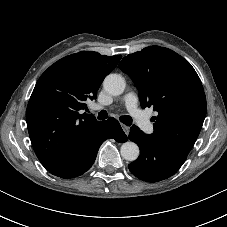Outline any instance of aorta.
Returning a JSON list of instances; mask_svg holds the SVG:
<instances>
[{
	"label": "aorta",
	"instance_id": "aorta-1",
	"mask_svg": "<svg viewBox=\"0 0 227 227\" xmlns=\"http://www.w3.org/2000/svg\"><path fill=\"white\" fill-rule=\"evenodd\" d=\"M125 80L119 74H109L103 82L104 89L107 93L118 96L124 92ZM139 147L131 141L122 144L120 153L121 156L127 161H135L139 156Z\"/></svg>",
	"mask_w": 227,
	"mask_h": 227
}]
</instances>
